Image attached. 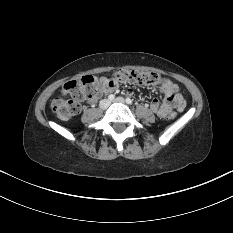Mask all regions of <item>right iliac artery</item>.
Returning <instances> with one entry per match:
<instances>
[{"mask_svg":"<svg viewBox=\"0 0 233 233\" xmlns=\"http://www.w3.org/2000/svg\"><path fill=\"white\" fill-rule=\"evenodd\" d=\"M114 98H115V96H114L113 94H110V95L108 96V99H109L110 101L114 100Z\"/></svg>","mask_w":233,"mask_h":233,"instance_id":"right-iliac-artery-1","label":"right iliac artery"}]
</instances>
